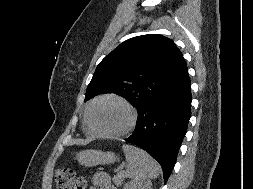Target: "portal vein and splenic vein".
Masks as SVG:
<instances>
[{"label":"portal vein and splenic vein","mask_w":253,"mask_h":189,"mask_svg":"<svg viewBox=\"0 0 253 189\" xmlns=\"http://www.w3.org/2000/svg\"><path fill=\"white\" fill-rule=\"evenodd\" d=\"M122 168H123V166H120V167L118 168V171H121V170H122Z\"/></svg>","instance_id":"obj_1"}]
</instances>
